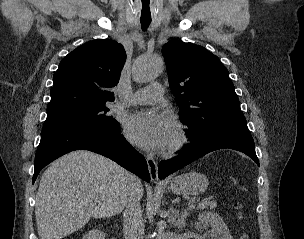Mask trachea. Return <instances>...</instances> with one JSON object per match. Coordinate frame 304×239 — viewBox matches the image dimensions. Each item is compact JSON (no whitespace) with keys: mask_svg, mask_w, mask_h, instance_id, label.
Listing matches in <instances>:
<instances>
[{"mask_svg":"<svg viewBox=\"0 0 304 239\" xmlns=\"http://www.w3.org/2000/svg\"><path fill=\"white\" fill-rule=\"evenodd\" d=\"M152 0H141L139 7L140 23L143 30H146L153 19V12L151 11Z\"/></svg>","mask_w":304,"mask_h":239,"instance_id":"obj_1","label":"trachea"}]
</instances>
